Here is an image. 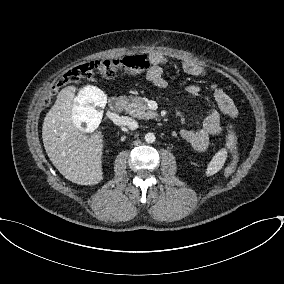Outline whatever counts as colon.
<instances>
[{"mask_svg":"<svg viewBox=\"0 0 284 284\" xmlns=\"http://www.w3.org/2000/svg\"><path fill=\"white\" fill-rule=\"evenodd\" d=\"M149 66L150 62L144 55L124 56L115 59L91 61L67 71L52 86L50 95H54L61 87L70 83H75L82 80H90L95 76H101L109 79L114 78L121 73L129 75L139 74L146 71ZM226 134L229 158L225 166V174L231 175L234 173L238 162L236 134L231 123L227 125Z\"/></svg>","mask_w":284,"mask_h":284,"instance_id":"1","label":"colon"}]
</instances>
